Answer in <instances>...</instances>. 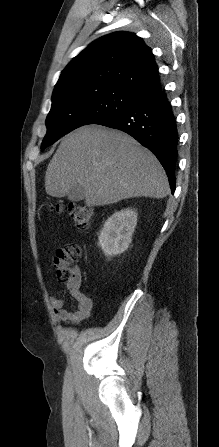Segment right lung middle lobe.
<instances>
[{
	"instance_id": "right-lung-middle-lobe-1",
	"label": "right lung middle lobe",
	"mask_w": 219,
	"mask_h": 447,
	"mask_svg": "<svg viewBox=\"0 0 219 447\" xmlns=\"http://www.w3.org/2000/svg\"><path fill=\"white\" fill-rule=\"evenodd\" d=\"M138 100L137 97L109 85H77L54 91L52 107L46 119L47 134L41 150L72 130L96 124Z\"/></svg>"
}]
</instances>
